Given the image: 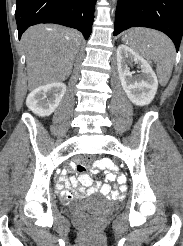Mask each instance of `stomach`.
Instances as JSON below:
<instances>
[{
	"mask_svg": "<svg viewBox=\"0 0 183 246\" xmlns=\"http://www.w3.org/2000/svg\"><path fill=\"white\" fill-rule=\"evenodd\" d=\"M123 39L126 41H129L130 43L137 40L136 36L131 35V33H129L128 35H125Z\"/></svg>",
	"mask_w": 183,
	"mask_h": 246,
	"instance_id": "1",
	"label": "stomach"
}]
</instances>
